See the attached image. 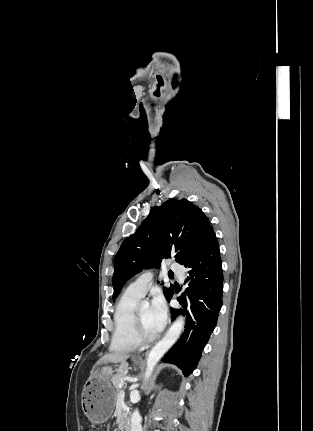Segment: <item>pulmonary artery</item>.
Masks as SVG:
<instances>
[{"label":"pulmonary artery","instance_id":"e3ab8cb5","mask_svg":"<svg viewBox=\"0 0 313 431\" xmlns=\"http://www.w3.org/2000/svg\"><path fill=\"white\" fill-rule=\"evenodd\" d=\"M170 269L178 276V278L183 281L185 278V269L178 263H172ZM153 274L150 271L141 274L135 281L129 284L125 290V293L136 296L143 297L152 285Z\"/></svg>","mask_w":313,"mask_h":431}]
</instances>
